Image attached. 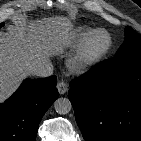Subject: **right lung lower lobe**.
<instances>
[{"label":"right lung lower lobe","instance_id":"obj_1","mask_svg":"<svg viewBox=\"0 0 141 141\" xmlns=\"http://www.w3.org/2000/svg\"><path fill=\"white\" fill-rule=\"evenodd\" d=\"M56 76L26 79L0 104V141H35L39 123L59 94Z\"/></svg>","mask_w":141,"mask_h":141}]
</instances>
